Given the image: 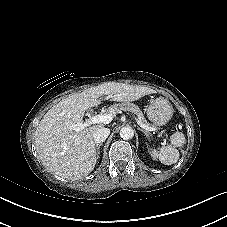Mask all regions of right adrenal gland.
<instances>
[{"mask_svg":"<svg viewBox=\"0 0 227 227\" xmlns=\"http://www.w3.org/2000/svg\"><path fill=\"white\" fill-rule=\"evenodd\" d=\"M102 145V143L100 144H96V153H97V158H99L100 155V146Z\"/></svg>","mask_w":227,"mask_h":227,"instance_id":"right-adrenal-gland-1","label":"right adrenal gland"}]
</instances>
